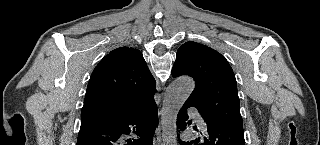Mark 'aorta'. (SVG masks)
<instances>
[{
  "label": "aorta",
  "mask_w": 320,
  "mask_h": 145,
  "mask_svg": "<svg viewBox=\"0 0 320 145\" xmlns=\"http://www.w3.org/2000/svg\"><path fill=\"white\" fill-rule=\"evenodd\" d=\"M192 78L182 76L168 87L161 112L162 136L166 145H176L177 115L194 89Z\"/></svg>",
  "instance_id": "1"
}]
</instances>
